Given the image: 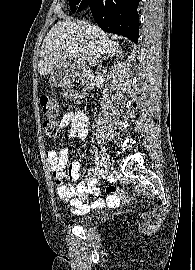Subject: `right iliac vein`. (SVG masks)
Here are the masks:
<instances>
[{
    "label": "right iliac vein",
    "mask_w": 195,
    "mask_h": 270,
    "mask_svg": "<svg viewBox=\"0 0 195 270\" xmlns=\"http://www.w3.org/2000/svg\"><path fill=\"white\" fill-rule=\"evenodd\" d=\"M100 157H101L100 171L102 173H105V169H108L109 167V156L106 152V149L103 146H101Z\"/></svg>",
    "instance_id": "63e3f726"
}]
</instances>
